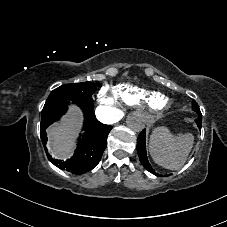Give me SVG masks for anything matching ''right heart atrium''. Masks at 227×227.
<instances>
[{"label": "right heart atrium", "instance_id": "d8ad5b80", "mask_svg": "<svg viewBox=\"0 0 227 227\" xmlns=\"http://www.w3.org/2000/svg\"><path fill=\"white\" fill-rule=\"evenodd\" d=\"M98 101L106 106H115L116 102L114 98L109 94L106 88L101 89L98 94Z\"/></svg>", "mask_w": 227, "mask_h": 227}]
</instances>
